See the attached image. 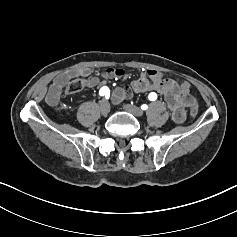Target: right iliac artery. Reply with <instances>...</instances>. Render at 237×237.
<instances>
[{
    "instance_id": "obj_1",
    "label": "right iliac artery",
    "mask_w": 237,
    "mask_h": 237,
    "mask_svg": "<svg viewBox=\"0 0 237 237\" xmlns=\"http://www.w3.org/2000/svg\"><path fill=\"white\" fill-rule=\"evenodd\" d=\"M99 95L100 96H105L106 98L109 97L110 95V90L107 86H104L102 87L100 90H99Z\"/></svg>"
}]
</instances>
